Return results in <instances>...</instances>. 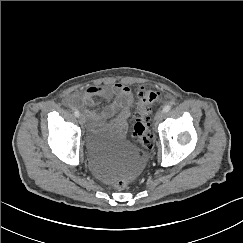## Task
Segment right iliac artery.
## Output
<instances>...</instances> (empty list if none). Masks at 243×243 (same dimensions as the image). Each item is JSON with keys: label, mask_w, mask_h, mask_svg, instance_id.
Segmentation results:
<instances>
[{"label": "right iliac artery", "mask_w": 243, "mask_h": 243, "mask_svg": "<svg viewBox=\"0 0 243 243\" xmlns=\"http://www.w3.org/2000/svg\"><path fill=\"white\" fill-rule=\"evenodd\" d=\"M74 115H75L76 117H79V115H80L79 111H78V110H75V111H74Z\"/></svg>", "instance_id": "right-iliac-artery-1"}]
</instances>
